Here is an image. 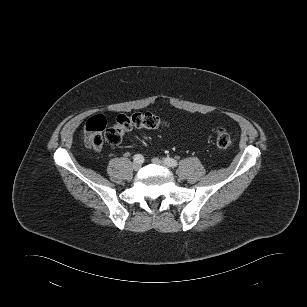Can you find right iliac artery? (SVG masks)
I'll use <instances>...</instances> for the list:
<instances>
[{
	"mask_svg": "<svg viewBox=\"0 0 307 307\" xmlns=\"http://www.w3.org/2000/svg\"><path fill=\"white\" fill-rule=\"evenodd\" d=\"M133 159H134V161H136V162H143V161H144L143 156L140 155V154L134 155Z\"/></svg>",
	"mask_w": 307,
	"mask_h": 307,
	"instance_id": "right-iliac-artery-1",
	"label": "right iliac artery"
}]
</instances>
